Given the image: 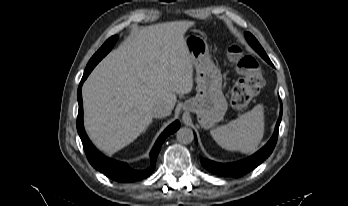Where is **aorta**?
<instances>
[{"label": "aorta", "mask_w": 348, "mask_h": 206, "mask_svg": "<svg viewBox=\"0 0 348 206\" xmlns=\"http://www.w3.org/2000/svg\"><path fill=\"white\" fill-rule=\"evenodd\" d=\"M176 139L181 144H190L194 140V133L191 128L181 127L176 132Z\"/></svg>", "instance_id": "1"}]
</instances>
